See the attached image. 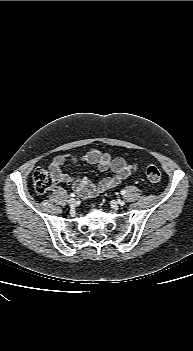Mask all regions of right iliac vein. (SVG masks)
Listing matches in <instances>:
<instances>
[{"label":"right iliac vein","instance_id":"obj_1","mask_svg":"<svg viewBox=\"0 0 193 351\" xmlns=\"http://www.w3.org/2000/svg\"><path fill=\"white\" fill-rule=\"evenodd\" d=\"M68 204H69L71 207H73V206L76 204L75 199H73V198L69 199V200H68Z\"/></svg>","mask_w":193,"mask_h":351}]
</instances>
